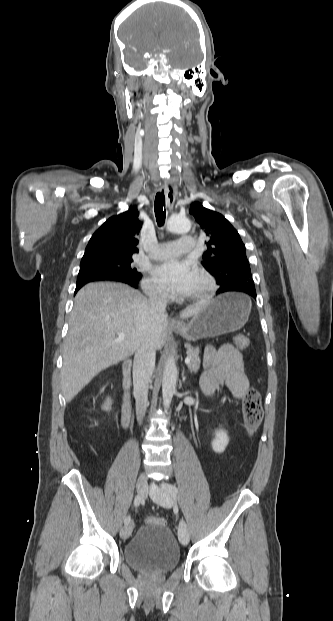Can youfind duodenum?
Returning <instances> with one entry per match:
<instances>
[{
  "instance_id": "obj_1",
  "label": "duodenum",
  "mask_w": 333,
  "mask_h": 621,
  "mask_svg": "<svg viewBox=\"0 0 333 621\" xmlns=\"http://www.w3.org/2000/svg\"><path fill=\"white\" fill-rule=\"evenodd\" d=\"M123 403H122V425L128 428L132 420V405L130 400L131 389V362L126 361L123 365Z\"/></svg>"
}]
</instances>
